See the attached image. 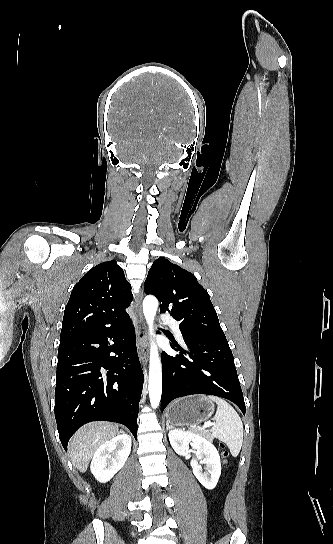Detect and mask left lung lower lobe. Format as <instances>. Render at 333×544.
<instances>
[{"mask_svg":"<svg viewBox=\"0 0 333 544\" xmlns=\"http://www.w3.org/2000/svg\"><path fill=\"white\" fill-rule=\"evenodd\" d=\"M183 340L186 349L177 342L171 345L181 355L170 357L162 352L161 411L175 398L209 394L232 401L245 415L244 398L227 339L183 336Z\"/></svg>","mask_w":333,"mask_h":544,"instance_id":"obj_1","label":"left lung lower lobe"}]
</instances>
